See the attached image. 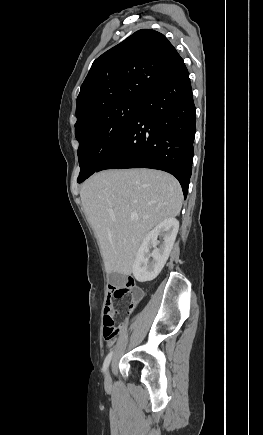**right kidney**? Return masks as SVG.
<instances>
[{
  "instance_id": "right-kidney-1",
  "label": "right kidney",
  "mask_w": 263,
  "mask_h": 435,
  "mask_svg": "<svg viewBox=\"0 0 263 435\" xmlns=\"http://www.w3.org/2000/svg\"><path fill=\"white\" fill-rule=\"evenodd\" d=\"M178 229V220L167 218L146 235L137 251L132 269L137 281H151L159 275L173 248Z\"/></svg>"
}]
</instances>
